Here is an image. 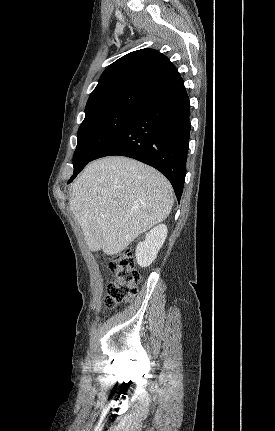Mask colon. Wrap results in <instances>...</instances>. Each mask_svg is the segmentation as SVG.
Masks as SVG:
<instances>
[{
  "instance_id": "5ec220e1",
  "label": "colon",
  "mask_w": 275,
  "mask_h": 431,
  "mask_svg": "<svg viewBox=\"0 0 275 431\" xmlns=\"http://www.w3.org/2000/svg\"><path fill=\"white\" fill-rule=\"evenodd\" d=\"M109 269L113 274V280L107 287L104 304L111 309L136 296L139 273L135 269V260L130 251L114 256L109 263Z\"/></svg>"
}]
</instances>
